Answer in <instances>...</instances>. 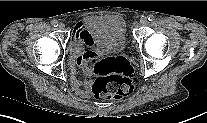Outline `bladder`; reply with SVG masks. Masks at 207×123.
<instances>
[{
  "label": "bladder",
  "mask_w": 207,
  "mask_h": 123,
  "mask_svg": "<svg viewBox=\"0 0 207 123\" xmlns=\"http://www.w3.org/2000/svg\"><path fill=\"white\" fill-rule=\"evenodd\" d=\"M83 25L88 39L83 42L85 48L101 52H117L126 42V24L118 15H92L84 19Z\"/></svg>",
  "instance_id": "31cf9c89"
}]
</instances>
